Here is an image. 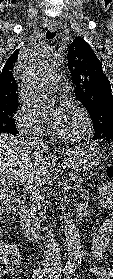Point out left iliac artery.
Segmentation results:
<instances>
[{
  "label": "left iliac artery",
  "mask_w": 113,
  "mask_h": 279,
  "mask_svg": "<svg viewBox=\"0 0 113 279\" xmlns=\"http://www.w3.org/2000/svg\"><path fill=\"white\" fill-rule=\"evenodd\" d=\"M72 272H73V271H71V270H70V272H66V273H65V279H71V277H72Z\"/></svg>",
  "instance_id": "1"
}]
</instances>
